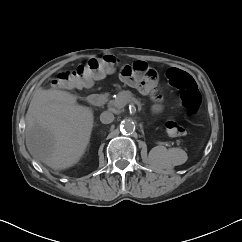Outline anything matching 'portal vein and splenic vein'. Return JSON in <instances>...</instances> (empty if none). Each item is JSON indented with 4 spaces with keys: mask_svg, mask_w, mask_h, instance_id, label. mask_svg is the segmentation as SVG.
I'll list each match as a JSON object with an SVG mask.
<instances>
[{
    "mask_svg": "<svg viewBox=\"0 0 242 242\" xmlns=\"http://www.w3.org/2000/svg\"><path fill=\"white\" fill-rule=\"evenodd\" d=\"M136 103H137V102H136ZM137 104H138V103H137ZM138 105H139V104H138ZM138 109L141 110V107L139 106Z\"/></svg>",
    "mask_w": 242,
    "mask_h": 242,
    "instance_id": "18ae733b",
    "label": "portal vein and splenic vein"
}]
</instances>
